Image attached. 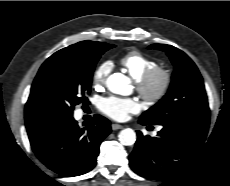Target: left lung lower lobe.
<instances>
[{
	"label": "left lung lower lobe",
	"mask_w": 230,
	"mask_h": 186,
	"mask_svg": "<svg viewBox=\"0 0 230 186\" xmlns=\"http://www.w3.org/2000/svg\"><path fill=\"white\" fill-rule=\"evenodd\" d=\"M142 125H149L139 120ZM157 137L137 132L130 167L137 174L156 180L173 177L189 164L202 147L209 127V118H184L163 124Z\"/></svg>",
	"instance_id": "0a47b994"
}]
</instances>
